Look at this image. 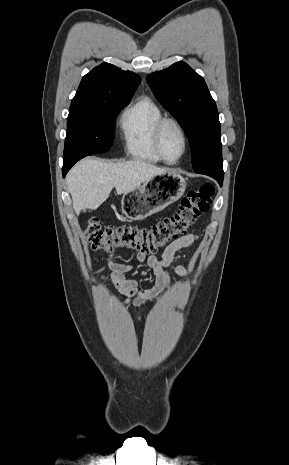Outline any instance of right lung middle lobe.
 <instances>
[{
	"mask_svg": "<svg viewBox=\"0 0 289 465\" xmlns=\"http://www.w3.org/2000/svg\"><path fill=\"white\" fill-rule=\"evenodd\" d=\"M130 100L113 101L92 112L93 116L67 118L63 161L106 152L114 138V118Z\"/></svg>",
	"mask_w": 289,
	"mask_h": 465,
	"instance_id": "1",
	"label": "right lung middle lobe"
}]
</instances>
